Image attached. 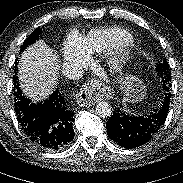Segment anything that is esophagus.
I'll return each mask as SVG.
<instances>
[{"label":"esophagus","mask_w":183,"mask_h":183,"mask_svg":"<svg viewBox=\"0 0 183 183\" xmlns=\"http://www.w3.org/2000/svg\"><path fill=\"white\" fill-rule=\"evenodd\" d=\"M113 96L114 92L110 86L94 80L84 86L77 94V103L81 107H90L99 100H110Z\"/></svg>","instance_id":"34e87169"}]
</instances>
